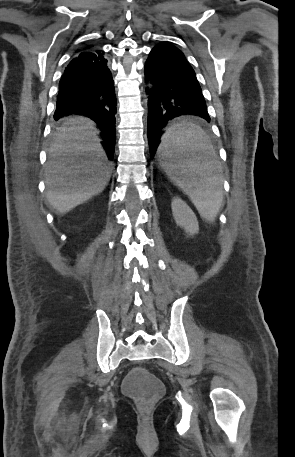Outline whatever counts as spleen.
I'll list each match as a JSON object with an SVG mask.
<instances>
[{"mask_svg":"<svg viewBox=\"0 0 295 457\" xmlns=\"http://www.w3.org/2000/svg\"><path fill=\"white\" fill-rule=\"evenodd\" d=\"M205 132L190 122L169 127L158 149L161 165L171 179L189 196L200 216L213 221L223 202L222 176L215 161H199L194 154L209 151Z\"/></svg>","mask_w":295,"mask_h":457,"instance_id":"spleen-1","label":"spleen"}]
</instances>
